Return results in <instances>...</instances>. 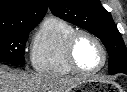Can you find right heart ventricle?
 I'll return each instance as SVG.
<instances>
[{
    "instance_id": "1",
    "label": "right heart ventricle",
    "mask_w": 127,
    "mask_h": 92,
    "mask_svg": "<svg viewBox=\"0 0 127 92\" xmlns=\"http://www.w3.org/2000/svg\"><path fill=\"white\" fill-rule=\"evenodd\" d=\"M74 31L75 28L69 22L54 16L41 23L31 51V62L36 72L46 75L73 73L66 60L65 47Z\"/></svg>"
}]
</instances>
